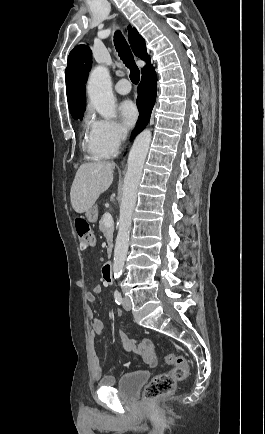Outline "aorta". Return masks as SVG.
I'll return each instance as SVG.
<instances>
[{"label": "aorta", "mask_w": 265, "mask_h": 434, "mask_svg": "<svg viewBox=\"0 0 265 434\" xmlns=\"http://www.w3.org/2000/svg\"><path fill=\"white\" fill-rule=\"evenodd\" d=\"M87 94L96 112L105 118H115V98L112 92L111 78L108 68L97 66L92 70L88 84ZM151 130H144L137 136L128 156V170L124 178L122 202L118 222V234L116 238L113 276H122L128 248L132 214L137 200V190L142 176L145 158L151 144Z\"/></svg>", "instance_id": "762f6f07"}]
</instances>
